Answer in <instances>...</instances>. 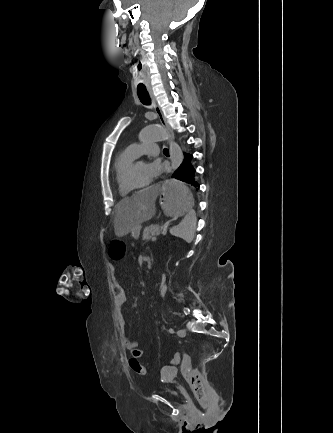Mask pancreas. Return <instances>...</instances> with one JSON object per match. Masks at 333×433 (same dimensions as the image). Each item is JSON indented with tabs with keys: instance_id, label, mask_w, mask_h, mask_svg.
Masks as SVG:
<instances>
[{
	"instance_id": "1",
	"label": "pancreas",
	"mask_w": 333,
	"mask_h": 433,
	"mask_svg": "<svg viewBox=\"0 0 333 433\" xmlns=\"http://www.w3.org/2000/svg\"><path fill=\"white\" fill-rule=\"evenodd\" d=\"M163 222L158 224H151L143 230L142 240L149 241L152 237H156L162 232Z\"/></svg>"
}]
</instances>
